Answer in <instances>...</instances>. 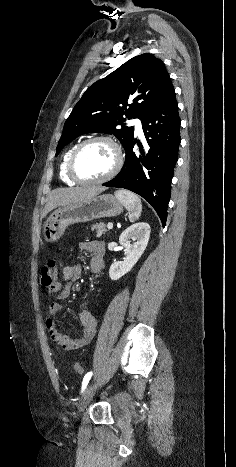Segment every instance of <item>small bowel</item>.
Listing matches in <instances>:
<instances>
[{"mask_svg": "<svg viewBox=\"0 0 236 467\" xmlns=\"http://www.w3.org/2000/svg\"><path fill=\"white\" fill-rule=\"evenodd\" d=\"M81 252L90 256V269L94 273H98L104 266L105 247L101 241L82 242L79 245ZM82 274L80 264L65 266L61 272L62 282L56 284L49 289L50 296H56L58 299H66L72 290V285L79 280ZM61 310V305L58 303H50L47 306V318L45 326L50 339L57 343L62 349L67 351L77 350L88 344L94 336L96 330V319L93 314L87 310H82L78 313V319L81 325V335L75 338H70L62 334L57 329L55 317Z\"/></svg>", "mask_w": 236, "mask_h": 467, "instance_id": "small-bowel-1", "label": "small bowel"}]
</instances>
